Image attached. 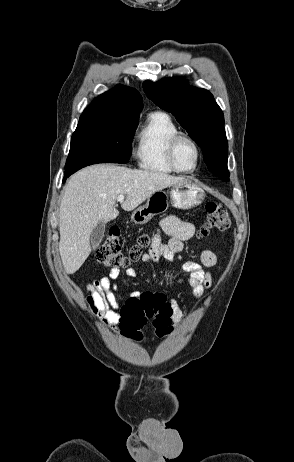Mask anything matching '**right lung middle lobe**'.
Listing matches in <instances>:
<instances>
[{
	"instance_id": "dd1d6c3e",
	"label": "right lung middle lobe",
	"mask_w": 294,
	"mask_h": 462,
	"mask_svg": "<svg viewBox=\"0 0 294 462\" xmlns=\"http://www.w3.org/2000/svg\"><path fill=\"white\" fill-rule=\"evenodd\" d=\"M140 115L83 113L72 135L65 174L97 163H126Z\"/></svg>"
}]
</instances>
